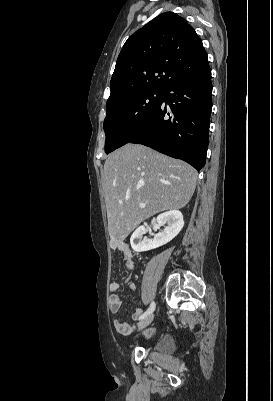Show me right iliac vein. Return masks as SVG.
I'll return each mask as SVG.
<instances>
[{"label":"right iliac vein","instance_id":"right-iliac-vein-1","mask_svg":"<svg viewBox=\"0 0 273 401\" xmlns=\"http://www.w3.org/2000/svg\"><path fill=\"white\" fill-rule=\"evenodd\" d=\"M154 315L150 314L138 323L139 330L147 327L153 321Z\"/></svg>","mask_w":273,"mask_h":401}]
</instances>
